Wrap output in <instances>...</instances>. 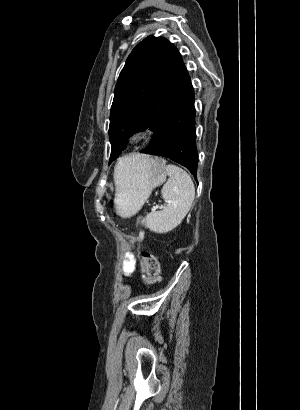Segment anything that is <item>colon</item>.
I'll use <instances>...</instances> for the list:
<instances>
[{
    "mask_svg": "<svg viewBox=\"0 0 300 410\" xmlns=\"http://www.w3.org/2000/svg\"><path fill=\"white\" fill-rule=\"evenodd\" d=\"M141 267L143 271V281L146 285H153L160 279V269L158 258L148 250L141 252Z\"/></svg>",
    "mask_w": 300,
    "mask_h": 410,
    "instance_id": "1",
    "label": "colon"
}]
</instances>
